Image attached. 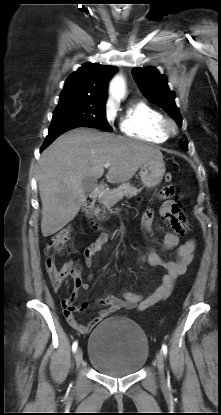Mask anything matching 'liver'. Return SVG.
Listing matches in <instances>:
<instances>
[{"label": "liver", "mask_w": 221, "mask_h": 415, "mask_svg": "<svg viewBox=\"0 0 221 415\" xmlns=\"http://www.w3.org/2000/svg\"><path fill=\"white\" fill-rule=\"evenodd\" d=\"M155 158L163 159L156 147L96 129L77 128L58 137L39 161L43 236L55 234L75 218L85 200L82 180L102 177L104 163H111L107 181L121 183Z\"/></svg>", "instance_id": "1"}]
</instances>
